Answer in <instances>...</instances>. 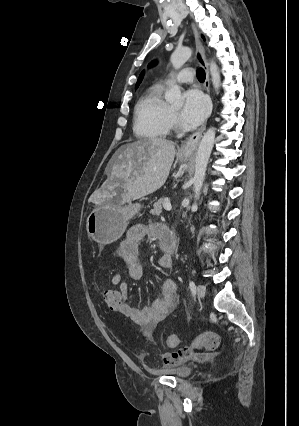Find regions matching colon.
Segmentation results:
<instances>
[{"instance_id": "obj_1", "label": "colon", "mask_w": 299, "mask_h": 426, "mask_svg": "<svg viewBox=\"0 0 299 426\" xmlns=\"http://www.w3.org/2000/svg\"><path fill=\"white\" fill-rule=\"evenodd\" d=\"M101 298L107 307L112 310L119 312L123 304V294L118 288L110 287L105 288L101 291ZM166 345L169 347H177L180 344V338L178 335H170L166 338ZM220 339L216 333L205 332L197 336L193 342L191 348H183V352H191V349H215L219 346Z\"/></svg>"}]
</instances>
